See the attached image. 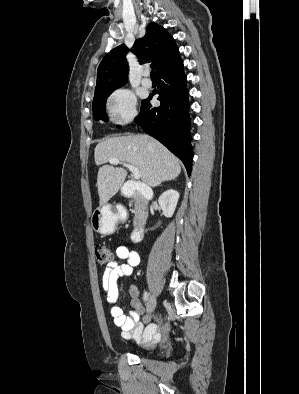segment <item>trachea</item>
Returning a JSON list of instances; mask_svg holds the SVG:
<instances>
[{
    "mask_svg": "<svg viewBox=\"0 0 299 394\" xmlns=\"http://www.w3.org/2000/svg\"><path fill=\"white\" fill-rule=\"evenodd\" d=\"M151 79H156L155 71L152 70L150 73Z\"/></svg>",
    "mask_w": 299,
    "mask_h": 394,
    "instance_id": "1",
    "label": "trachea"
}]
</instances>
